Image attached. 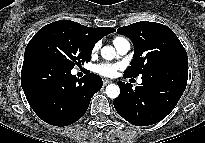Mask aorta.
<instances>
[{
  "instance_id": "aorta-1",
  "label": "aorta",
  "mask_w": 205,
  "mask_h": 143,
  "mask_svg": "<svg viewBox=\"0 0 205 143\" xmlns=\"http://www.w3.org/2000/svg\"><path fill=\"white\" fill-rule=\"evenodd\" d=\"M101 56L106 60H112L116 56V51L112 46H104L101 49ZM119 93L120 89L116 84H110L106 87V94L111 99L117 98Z\"/></svg>"
}]
</instances>
